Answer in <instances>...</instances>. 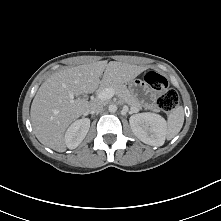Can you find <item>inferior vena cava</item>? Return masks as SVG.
Returning a JSON list of instances; mask_svg holds the SVG:
<instances>
[{"label":"inferior vena cava","mask_w":221,"mask_h":221,"mask_svg":"<svg viewBox=\"0 0 221 221\" xmlns=\"http://www.w3.org/2000/svg\"><path fill=\"white\" fill-rule=\"evenodd\" d=\"M102 111H103V105L102 104H99V103L91 104V106H90V112L91 113L98 114V113H101Z\"/></svg>","instance_id":"inferior-vena-cava-1"}]
</instances>
